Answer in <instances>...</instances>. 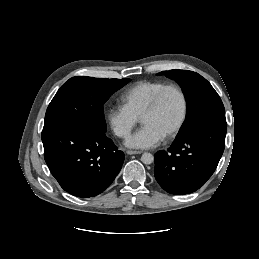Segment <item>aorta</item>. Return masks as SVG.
<instances>
[{"instance_id": "1", "label": "aorta", "mask_w": 259, "mask_h": 259, "mask_svg": "<svg viewBox=\"0 0 259 259\" xmlns=\"http://www.w3.org/2000/svg\"><path fill=\"white\" fill-rule=\"evenodd\" d=\"M141 161H142L144 164H151V163H153V161H154V156H153L151 153H144V154L141 156Z\"/></svg>"}]
</instances>
